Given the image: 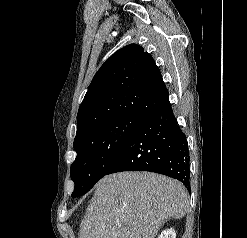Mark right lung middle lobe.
<instances>
[{
	"label": "right lung middle lobe",
	"instance_id": "dd1d6c3e",
	"mask_svg": "<svg viewBox=\"0 0 247 238\" xmlns=\"http://www.w3.org/2000/svg\"><path fill=\"white\" fill-rule=\"evenodd\" d=\"M145 118L126 116L105 123L75 139L77 156L70 176L75 183L72 197L87 193L108 171Z\"/></svg>",
	"mask_w": 247,
	"mask_h": 238
}]
</instances>
